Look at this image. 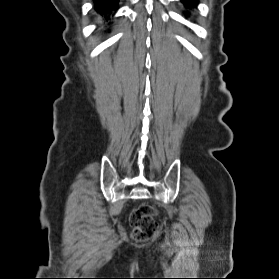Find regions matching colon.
I'll return each mask as SVG.
<instances>
[{
	"mask_svg": "<svg viewBox=\"0 0 279 279\" xmlns=\"http://www.w3.org/2000/svg\"><path fill=\"white\" fill-rule=\"evenodd\" d=\"M156 215L157 210L151 205H142L132 212L130 221L135 241H145L155 235L159 227Z\"/></svg>",
	"mask_w": 279,
	"mask_h": 279,
	"instance_id": "colon-1",
	"label": "colon"
}]
</instances>
